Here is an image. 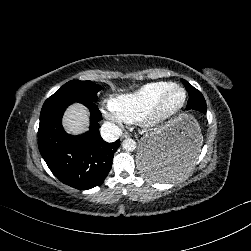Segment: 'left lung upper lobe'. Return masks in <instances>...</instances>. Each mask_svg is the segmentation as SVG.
I'll list each match as a JSON object with an SVG mask.
<instances>
[{
  "label": "left lung upper lobe",
  "mask_w": 251,
  "mask_h": 251,
  "mask_svg": "<svg viewBox=\"0 0 251 251\" xmlns=\"http://www.w3.org/2000/svg\"><path fill=\"white\" fill-rule=\"evenodd\" d=\"M182 83L186 87L188 93H189V98L195 99V101L201 102L203 105H206L205 99L203 95L192 85H190L187 81L181 79Z\"/></svg>",
  "instance_id": "left-lung-upper-lobe-1"
}]
</instances>
